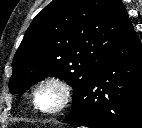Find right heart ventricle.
Returning <instances> with one entry per match:
<instances>
[{
	"label": "right heart ventricle",
	"instance_id": "1",
	"mask_svg": "<svg viewBox=\"0 0 142 128\" xmlns=\"http://www.w3.org/2000/svg\"><path fill=\"white\" fill-rule=\"evenodd\" d=\"M31 100H32V103H33V101H34V93H33V95H32V98H31Z\"/></svg>",
	"mask_w": 142,
	"mask_h": 128
}]
</instances>
